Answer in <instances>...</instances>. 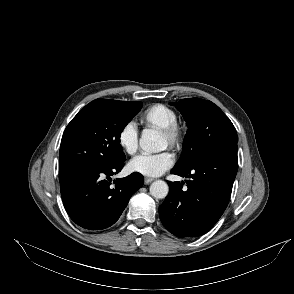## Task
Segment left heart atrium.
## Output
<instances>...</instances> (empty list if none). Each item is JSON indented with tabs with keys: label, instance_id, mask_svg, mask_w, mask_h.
<instances>
[{
	"label": "left heart atrium",
	"instance_id": "left-heart-atrium-1",
	"mask_svg": "<svg viewBox=\"0 0 294 294\" xmlns=\"http://www.w3.org/2000/svg\"><path fill=\"white\" fill-rule=\"evenodd\" d=\"M174 163V157L169 151L158 154H141L128 163L131 172L145 176L156 177L163 174Z\"/></svg>",
	"mask_w": 294,
	"mask_h": 294
}]
</instances>
